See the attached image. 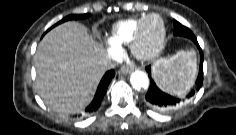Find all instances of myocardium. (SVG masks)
<instances>
[{"mask_svg": "<svg viewBox=\"0 0 236 135\" xmlns=\"http://www.w3.org/2000/svg\"><path fill=\"white\" fill-rule=\"evenodd\" d=\"M152 18L160 22L161 32L158 39L149 47L144 46V35L147 23ZM167 35L166 24L164 19L156 13H150L144 17L140 23L137 32L130 43V50L133 56L141 61H151L155 59L162 51Z\"/></svg>", "mask_w": 236, "mask_h": 135, "instance_id": "myocardium-1", "label": "myocardium"}]
</instances>
